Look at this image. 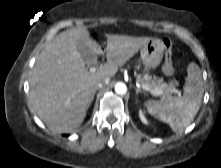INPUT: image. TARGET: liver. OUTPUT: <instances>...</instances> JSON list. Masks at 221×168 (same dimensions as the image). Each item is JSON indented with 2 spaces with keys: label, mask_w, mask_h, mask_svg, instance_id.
I'll return each mask as SVG.
<instances>
[{
  "label": "liver",
  "mask_w": 221,
  "mask_h": 168,
  "mask_svg": "<svg viewBox=\"0 0 221 168\" xmlns=\"http://www.w3.org/2000/svg\"><path fill=\"white\" fill-rule=\"evenodd\" d=\"M151 39L108 35L107 63L91 72L85 70V61L77 50L83 42L95 55H101L89 31L75 28L61 32L46 45L32 70L29 100L34 112L54 132L74 131L86 116L96 83L113 77Z\"/></svg>",
  "instance_id": "liver-1"
}]
</instances>
